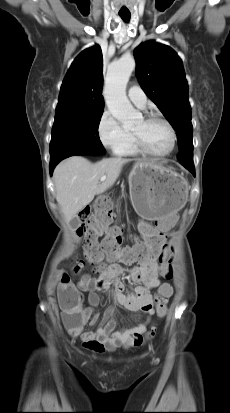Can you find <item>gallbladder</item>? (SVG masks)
I'll return each instance as SVG.
<instances>
[{"mask_svg": "<svg viewBox=\"0 0 230 413\" xmlns=\"http://www.w3.org/2000/svg\"><path fill=\"white\" fill-rule=\"evenodd\" d=\"M79 224H80V222L77 219H74V220L71 221V225H72L73 228L78 227Z\"/></svg>", "mask_w": 230, "mask_h": 413, "instance_id": "gallbladder-1", "label": "gallbladder"}]
</instances>
